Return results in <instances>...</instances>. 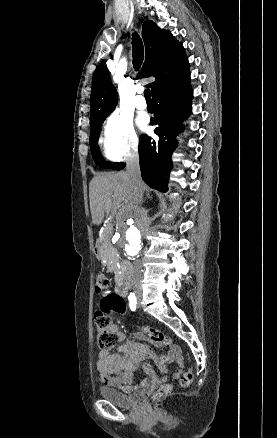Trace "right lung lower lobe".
<instances>
[{"label":"right lung lower lobe","mask_w":277,"mask_h":438,"mask_svg":"<svg viewBox=\"0 0 277 438\" xmlns=\"http://www.w3.org/2000/svg\"><path fill=\"white\" fill-rule=\"evenodd\" d=\"M192 90L190 72L163 83L152 93L155 107V133L159 140L142 135L139 142L140 168L143 180L161 192L168 190L167 183L172 168L171 155L177 146L175 137L182 131L181 121L191 114ZM121 163L115 169L121 170Z\"/></svg>","instance_id":"1"}]
</instances>
